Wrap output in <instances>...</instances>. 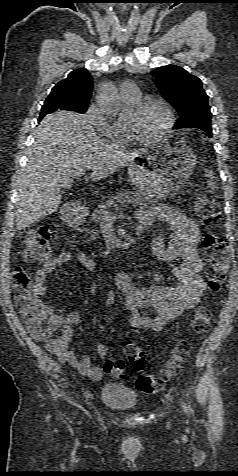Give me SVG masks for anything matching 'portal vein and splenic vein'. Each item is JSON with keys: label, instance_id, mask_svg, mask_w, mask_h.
<instances>
[{"label": "portal vein and splenic vein", "instance_id": "18ae733b", "mask_svg": "<svg viewBox=\"0 0 238 476\" xmlns=\"http://www.w3.org/2000/svg\"><path fill=\"white\" fill-rule=\"evenodd\" d=\"M75 175L77 177H81L83 175V172H77ZM114 219H115V216L110 212L106 213L104 218H103V220H105V221H112Z\"/></svg>", "mask_w": 238, "mask_h": 476}]
</instances>
